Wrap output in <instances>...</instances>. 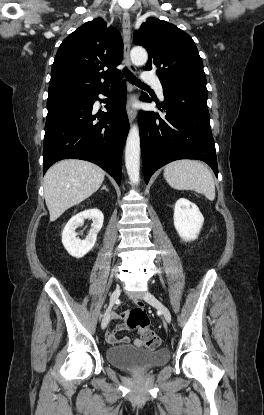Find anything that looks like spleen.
Returning a JSON list of instances; mask_svg holds the SVG:
<instances>
[{"mask_svg":"<svg viewBox=\"0 0 264 415\" xmlns=\"http://www.w3.org/2000/svg\"><path fill=\"white\" fill-rule=\"evenodd\" d=\"M164 178L177 190H193L207 199H215V183L211 171L199 161L178 160L164 168Z\"/></svg>","mask_w":264,"mask_h":415,"instance_id":"1","label":"spleen"}]
</instances>
